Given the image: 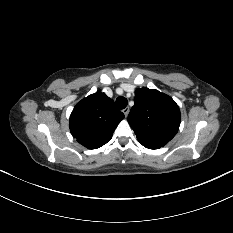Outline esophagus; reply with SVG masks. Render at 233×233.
Instances as JSON below:
<instances>
[{
  "label": "esophagus",
  "instance_id": "obj_1",
  "mask_svg": "<svg viewBox=\"0 0 233 233\" xmlns=\"http://www.w3.org/2000/svg\"><path fill=\"white\" fill-rule=\"evenodd\" d=\"M122 112L124 113L125 117H127L129 114V107L124 108Z\"/></svg>",
  "mask_w": 233,
  "mask_h": 233
}]
</instances>
